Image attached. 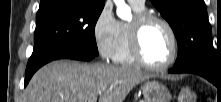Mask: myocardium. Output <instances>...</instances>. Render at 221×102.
Listing matches in <instances>:
<instances>
[{
	"instance_id": "1",
	"label": "myocardium",
	"mask_w": 221,
	"mask_h": 102,
	"mask_svg": "<svg viewBox=\"0 0 221 102\" xmlns=\"http://www.w3.org/2000/svg\"><path fill=\"white\" fill-rule=\"evenodd\" d=\"M154 22L162 24L169 32L172 40V53L170 58L165 63L159 65L152 64L146 59L141 43L143 30L146 26ZM128 30L130 51L136 63L151 70H164L175 62L178 56L179 42L174 28L165 18L148 12L137 13L132 22L129 23Z\"/></svg>"
}]
</instances>
